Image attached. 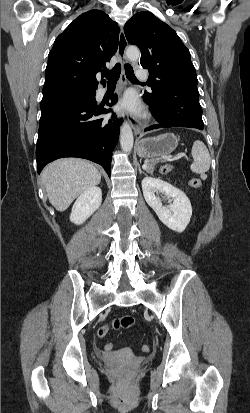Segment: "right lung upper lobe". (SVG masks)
Wrapping results in <instances>:
<instances>
[{
    "label": "right lung upper lobe",
    "instance_id": "1",
    "mask_svg": "<svg viewBox=\"0 0 250 413\" xmlns=\"http://www.w3.org/2000/svg\"><path fill=\"white\" fill-rule=\"evenodd\" d=\"M119 33L118 24L101 10L76 18L49 53L43 97L68 90H96V74L106 69L105 63L116 53Z\"/></svg>",
    "mask_w": 250,
    "mask_h": 413
}]
</instances>
